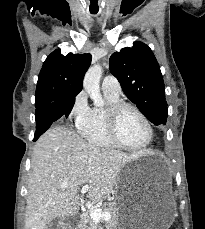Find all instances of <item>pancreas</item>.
I'll return each mask as SVG.
<instances>
[{"label":"pancreas","instance_id":"cf45deb5","mask_svg":"<svg viewBox=\"0 0 205 229\" xmlns=\"http://www.w3.org/2000/svg\"><path fill=\"white\" fill-rule=\"evenodd\" d=\"M101 210L103 212H109L111 214V219L106 222V229H116L118 222V208L115 204L104 205ZM80 229H97L95 222L88 215L84 218L83 225Z\"/></svg>","mask_w":205,"mask_h":229}]
</instances>
